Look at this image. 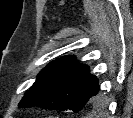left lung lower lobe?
Returning a JSON list of instances; mask_svg holds the SVG:
<instances>
[{
  "label": "left lung lower lobe",
  "mask_w": 133,
  "mask_h": 118,
  "mask_svg": "<svg viewBox=\"0 0 133 118\" xmlns=\"http://www.w3.org/2000/svg\"><path fill=\"white\" fill-rule=\"evenodd\" d=\"M99 90V85H97L96 89L94 90L93 94L91 95L89 102L87 104V106H93L95 104L96 98H97V93Z\"/></svg>",
  "instance_id": "obj_1"
}]
</instances>
